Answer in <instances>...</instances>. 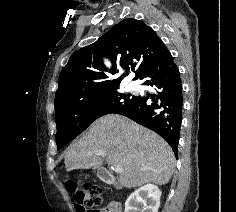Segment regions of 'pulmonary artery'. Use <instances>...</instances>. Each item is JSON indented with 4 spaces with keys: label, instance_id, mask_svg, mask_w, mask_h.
Instances as JSON below:
<instances>
[{
    "label": "pulmonary artery",
    "instance_id": "1",
    "mask_svg": "<svg viewBox=\"0 0 236 212\" xmlns=\"http://www.w3.org/2000/svg\"><path fill=\"white\" fill-rule=\"evenodd\" d=\"M137 87V85H136V83H134V82H130L129 84H128V88L129 89H135Z\"/></svg>",
    "mask_w": 236,
    "mask_h": 212
}]
</instances>
